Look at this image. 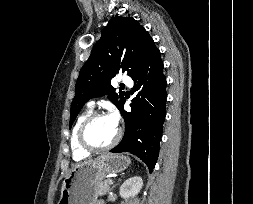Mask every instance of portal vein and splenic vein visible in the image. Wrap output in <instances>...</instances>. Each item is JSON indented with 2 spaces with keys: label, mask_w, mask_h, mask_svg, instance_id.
Returning a JSON list of instances; mask_svg holds the SVG:
<instances>
[{
  "label": "portal vein and splenic vein",
  "mask_w": 253,
  "mask_h": 204,
  "mask_svg": "<svg viewBox=\"0 0 253 204\" xmlns=\"http://www.w3.org/2000/svg\"><path fill=\"white\" fill-rule=\"evenodd\" d=\"M113 183H114L113 180H111V179L108 180V184H109V185H112Z\"/></svg>",
  "instance_id": "18ae733b"
}]
</instances>
